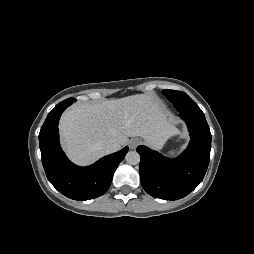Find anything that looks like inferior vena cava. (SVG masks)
I'll return each instance as SVG.
<instances>
[{"instance_id": "602c4592", "label": "inferior vena cava", "mask_w": 254, "mask_h": 254, "mask_svg": "<svg viewBox=\"0 0 254 254\" xmlns=\"http://www.w3.org/2000/svg\"><path fill=\"white\" fill-rule=\"evenodd\" d=\"M120 148V144L116 141H111L104 147V151L106 154L113 153Z\"/></svg>"}]
</instances>
